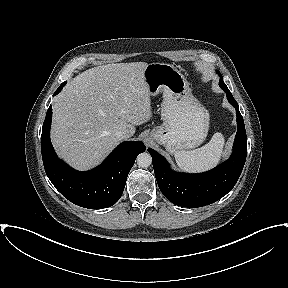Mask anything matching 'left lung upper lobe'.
I'll use <instances>...</instances> for the list:
<instances>
[{"instance_id": "1", "label": "left lung upper lobe", "mask_w": 288, "mask_h": 288, "mask_svg": "<svg viewBox=\"0 0 288 288\" xmlns=\"http://www.w3.org/2000/svg\"><path fill=\"white\" fill-rule=\"evenodd\" d=\"M219 85L224 91L229 90L222 78L220 79Z\"/></svg>"}]
</instances>
